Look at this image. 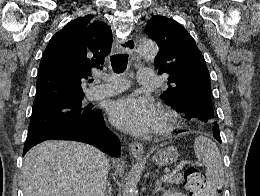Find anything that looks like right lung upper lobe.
Segmentation results:
<instances>
[{"mask_svg": "<svg viewBox=\"0 0 260 196\" xmlns=\"http://www.w3.org/2000/svg\"><path fill=\"white\" fill-rule=\"evenodd\" d=\"M111 44L110 27L93 21V15L69 22L51 38L43 53L33 105L84 94L81 80L87 79L92 69L101 68Z\"/></svg>", "mask_w": 260, "mask_h": 196, "instance_id": "cb5924a9", "label": "right lung upper lobe"}]
</instances>
